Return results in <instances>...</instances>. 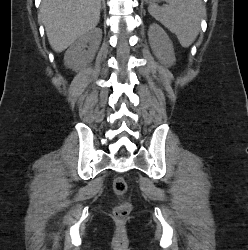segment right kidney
Instances as JSON below:
<instances>
[{
	"instance_id": "ca27d5eb",
	"label": "right kidney",
	"mask_w": 248,
	"mask_h": 250,
	"mask_svg": "<svg viewBox=\"0 0 248 250\" xmlns=\"http://www.w3.org/2000/svg\"><path fill=\"white\" fill-rule=\"evenodd\" d=\"M101 38V29H94L93 31L79 37L65 53V66L75 71L87 66V64L94 59Z\"/></svg>"
}]
</instances>
